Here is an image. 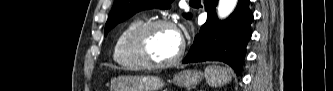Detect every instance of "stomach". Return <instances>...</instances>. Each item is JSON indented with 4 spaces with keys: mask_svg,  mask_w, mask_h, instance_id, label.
<instances>
[{
    "mask_svg": "<svg viewBox=\"0 0 333 91\" xmlns=\"http://www.w3.org/2000/svg\"><path fill=\"white\" fill-rule=\"evenodd\" d=\"M203 78L197 70H184L176 74L173 82L181 87L196 86ZM163 80L155 76H119L111 81L112 91H159Z\"/></svg>",
    "mask_w": 333,
    "mask_h": 91,
    "instance_id": "stomach-1",
    "label": "stomach"
}]
</instances>
